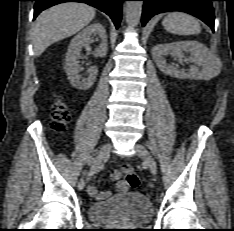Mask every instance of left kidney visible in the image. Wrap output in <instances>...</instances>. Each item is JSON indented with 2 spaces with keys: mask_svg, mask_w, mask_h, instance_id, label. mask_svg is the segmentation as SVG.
Returning a JSON list of instances; mask_svg holds the SVG:
<instances>
[{
  "mask_svg": "<svg viewBox=\"0 0 234 231\" xmlns=\"http://www.w3.org/2000/svg\"><path fill=\"white\" fill-rule=\"evenodd\" d=\"M184 52L190 54L187 60L201 66V69L192 65L189 72L184 73L180 72L173 63H166V55L170 54L173 57L184 58ZM152 56L156 65L163 73L179 79L210 80L216 77L222 68L220 59L198 41H178L159 44L153 47Z\"/></svg>",
  "mask_w": 234,
  "mask_h": 231,
  "instance_id": "left-kidney-1",
  "label": "left kidney"
}]
</instances>
